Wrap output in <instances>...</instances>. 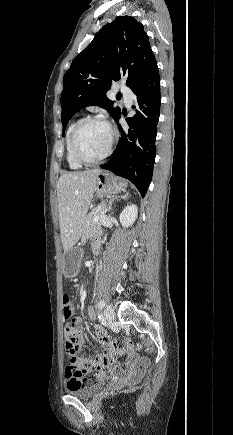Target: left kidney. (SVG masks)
<instances>
[{"label":"left kidney","mask_w":233,"mask_h":435,"mask_svg":"<svg viewBox=\"0 0 233 435\" xmlns=\"http://www.w3.org/2000/svg\"><path fill=\"white\" fill-rule=\"evenodd\" d=\"M137 214H138V209L136 205L134 204L127 205L119 216V220L122 226L123 227L131 226L135 222L137 218Z\"/></svg>","instance_id":"obj_1"}]
</instances>
